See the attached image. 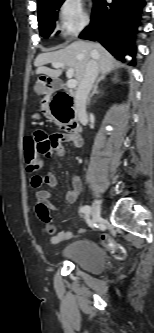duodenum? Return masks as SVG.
<instances>
[{"label":"duodenum","instance_id":"410a0bca","mask_svg":"<svg viewBox=\"0 0 154 333\" xmlns=\"http://www.w3.org/2000/svg\"><path fill=\"white\" fill-rule=\"evenodd\" d=\"M48 88L52 92V95H54V97H56L59 94L58 92L62 89V84L59 81H56V80L50 81L49 84H48ZM70 99H71V102H70L69 108L64 107V106L62 108L61 115L64 116V117H67L69 115V112L71 111V108L73 106L74 99H73L72 96H70ZM52 114L54 116H58V110L54 106H52ZM68 126L72 128L71 129V134L73 136H75V137L79 136V121L77 119L69 120Z\"/></svg>","mask_w":154,"mask_h":333}]
</instances>
